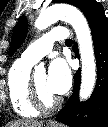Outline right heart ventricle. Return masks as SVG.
I'll use <instances>...</instances> for the list:
<instances>
[{
    "mask_svg": "<svg viewBox=\"0 0 108 127\" xmlns=\"http://www.w3.org/2000/svg\"><path fill=\"white\" fill-rule=\"evenodd\" d=\"M33 64L18 59L11 66L8 77V94L13 110L21 117L32 118L39 114L30 100L29 80Z\"/></svg>",
    "mask_w": 108,
    "mask_h": 127,
    "instance_id": "right-heart-ventricle-1",
    "label": "right heart ventricle"
}]
</instances>
